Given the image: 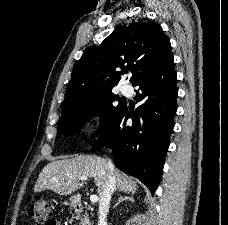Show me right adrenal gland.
I'll use <instances>...</instances> for the list:
<instances>
[{
	"mask_svg": "<svg viewBox=\"0 0 228 225\" xmlns=\"http://www.w3.org/2000/svg\"><path fill=\"white\" fill-rule=\"evenodd\" d=\"M123 201H131V203H134L133 197H119L118 203H116V205H114L112 209H115V207H118V205H120V203H123Z\"/></svg>",
	"mask_w": 228,
	"mask_h": 225,
	"instance_id": "1",
	"label": "right adrenal gland"
}]
</instances>
